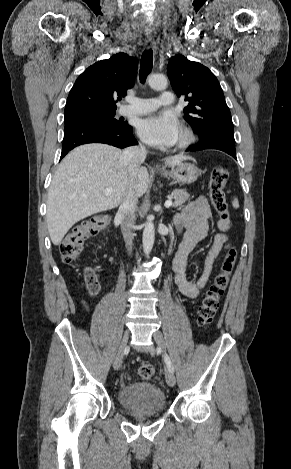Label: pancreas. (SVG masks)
<instances>
[{"instance_id":"cf45deb5","label":"pancreas","mask_w":291,"mask_h":469,"mask_svg":"<svg viewBox=\"0 0 291 469\" xmlns=\"http://www.w3.org/2000/svg\"><path fill=\"white\" fill-rule=\"evenodd\" d=\"M172 196L174 198L173 207L181 206L189 198V194L184 189H175V190H173L172 191Z\"/></svg>"}]
</instances>
